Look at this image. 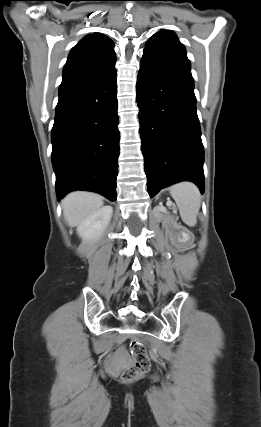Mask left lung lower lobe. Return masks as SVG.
<instances>
[{"mask_svg": "<svg viewBox=\"0 0 261 427\" xmlns=\"http://www.w3.org/2000/svg\"><path fill=\"white\" fill-rule=\"evenodd\" d=\"M141 149L150 197L180 181L204 193V150L190 66L144 51L137 82Z\"/></svg>", "mask_w": 261, "mask_h": 427, "instance_id": "0a47b994", "label": "left lung lower lobe"}]
</instances>
